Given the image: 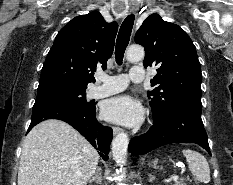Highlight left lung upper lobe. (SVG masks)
<instances>
[{
    "mask_svg": "<svg viewBox=\"0 0 233 185\" xmlns=\"http://www.w3.org/2000/svg\"><path fill=\"white\" fill-rule=\"evenodd\" d=\"M144 46V67L157 66L148 92L153 119L163 118L181 99L201 96V66L196 48L178 25L164 21L158 14L148 16L135 35Z\"/></svg>",
    "mask_w": 233,
    "mask_h": 185,
    "instance_id": "5c2ea615",
    "label": "left lung upper lobe"
}]
</instances>
